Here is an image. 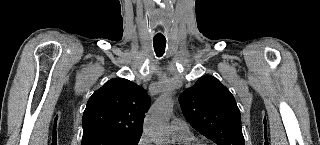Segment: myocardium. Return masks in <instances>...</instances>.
<instances>
[{"label":"myocardium","instance_id":"f54148a6","mask_svg":"<svg viewBox=\"0 0 320 145\" xmlns=\"http://www.w3.org/2000/svg\"><path fill=\"white\" fill-rule=\"evenodd\" d=\"M188 145H208L207 143H204V142H200V141H194Z\"/></svg>","mask_w":320,"mask_h":145}]
</instances>
